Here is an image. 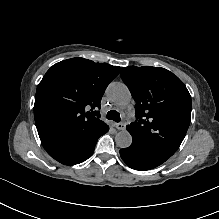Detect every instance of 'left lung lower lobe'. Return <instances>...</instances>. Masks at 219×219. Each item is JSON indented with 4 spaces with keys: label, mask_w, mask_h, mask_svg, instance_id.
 <instances>
[{
    "label": "left lung lower lobe",
    "mask_w": 219,
    "mask_h": 219,
    "mask_svg": "<svg viewBox=\"0 0 219 219\" xmlns=\"http://www.w3.org/2000/svg\"><path fill=\"white\" fill-rule=\"evenodd\" d=\"M120 156L130 168L140 171L153 169L169 158L134 138L128 148L120 150Z\"/></svg>",
    "instance_id": "1"
}]
</instances>
